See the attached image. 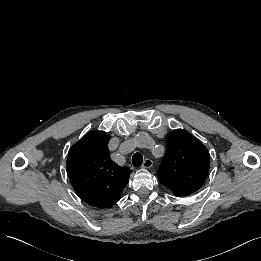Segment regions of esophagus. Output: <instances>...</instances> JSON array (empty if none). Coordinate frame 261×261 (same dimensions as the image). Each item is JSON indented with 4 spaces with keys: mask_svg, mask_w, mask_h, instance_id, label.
Listing matches in <instances>:
<instances>
[{
    "mask_svg": "<svg viewBox=\"0 0 261 261\" xmlns=\"http://www.w3.org/2000/svg\"><path fill=\"white\" fill-rule=\"evenodd\" d=\"M153 165V161L149 158L145 159V161L143 162V167L144 168H150Z\"/></svg>",
    "mask_w": 261,
    "mask_h": 261,
    "instance_id": "34e87169",
    "label": "esophagus"
}]
</instances>
